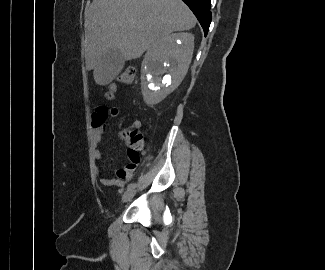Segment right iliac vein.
Segmentation results:
<instances>
[{
	"label": "right iliac vein",
	"instance_id": "63e3f726",
	"mask_svg": "<svg viewBox=\"0 0 325 270\" xmlns=\"http://www.w3.org/2000/svg\"><path fill=\"white\" fill-rule=\"evenodd\" d=\"M136 193V190L134 188L127 190L123 195H122V202H127L131 200Z\"/></svg>",
	"mask_w": 325,
	"mask_h": 270
}]
</instances>
